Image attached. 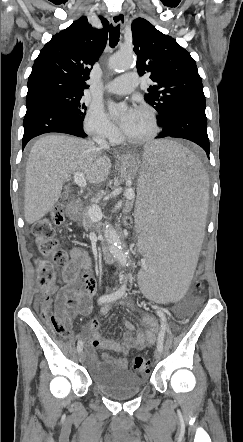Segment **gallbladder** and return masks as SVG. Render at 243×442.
I'll return each mask as SVG.
<instances>
[{
	"label": "gallbladder",
	"instance_id": "bac80fb5",
	"mask_svg": "<svg viewBox=\"0 0 243 442\" xmlns=\"http://www.w3.org/2000/svg\"><path fill=\"white\" fill-rule=\"evenodd\" d=\"M71 191L70 187H65L64 192L61 195V199L65 200L68 197L69 192Z\"/></svg>",
	"mask_w": 243,
	"mask_h": 442
}]
</instances>
